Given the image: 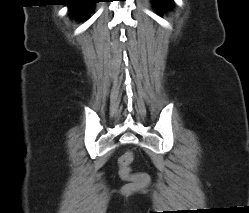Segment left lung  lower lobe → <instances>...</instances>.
I'll return each instance as SVG.
<instances>
[{"label":"left lung lower lobe","mask_w":249,"mask_h":213,"mask_svg":"<svg viewBox=\"0 0 249 213\" xmlns=\"http://www.w3.org/2000/svg\"><path fill=\"white\" fill-rule=\"evenodd\" d=\"M155 2L160 5L162 8H167L171 3V0H155Z\"/></svg>","instance_id":"left-lung-lower-lobe-1"}]
</instances>
